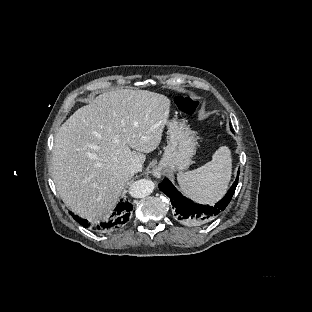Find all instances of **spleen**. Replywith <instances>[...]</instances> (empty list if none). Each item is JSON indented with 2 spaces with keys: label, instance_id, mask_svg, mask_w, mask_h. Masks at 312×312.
<instances>
[{
  "label": "spleen",
  "instance_id": "3e777b00",
  "mask_svg": "<svg viewBox=\"0 0 312 312\" xmlns=\"http://www.w3.org/2000/svg\"><path fill=\"white\" fill-rule=\"evenodd\" d=\"M231 176V157L227 147H221L212 160L188 172L177 175L183 193L200 203H214L227 190Z\"/></svg>",
  "mask_w": 312,
  "mask_h": 312
}]
</instances>
